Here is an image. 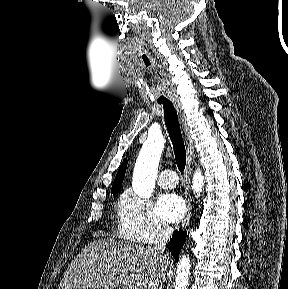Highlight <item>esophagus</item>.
<instances>
[{"label": "esophagus", "instance_id": "34e87169", "mask_svg": "<svg viewBox=\"0 0 288 289\" xmlns=\"http://www.w3.org/2000/svg\"><path fill=\"white\" fill-rule=\"evenodd\" d=\"M173 104L175 106V109L177 110V113L179 115V120L184 131L186 150H187V165L185 169V181H186L185 200H186L187 210L182 221V227L185 228L189 224V221L192 215V204H191V197H190V191H189V183H190L189 174L191 172L192 160L194 159V146H193V141L189 134V128H188L185 114L182 110L180 102L174 101Z\"/></svg>", "mask_w": 288, "mask_h": 289}]
</instances>
